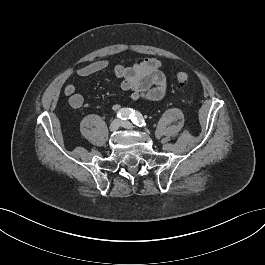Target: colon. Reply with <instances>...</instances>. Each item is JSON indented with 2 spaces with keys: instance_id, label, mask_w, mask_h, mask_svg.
<instances>
[{
  "instance_id": "5ec220e1",
  "label": "colon",
  "mask_w": 265,
  "mask_h": 265,
  "mask_svg": "<svg viewBox=\"0 0 265 265\" xmlns=\"http://www.w3.org/2000/svg\"><path fill=\"white\" fill-rule=\"evenodd\" d=\"M176 80L180 88L187 87L190 84V77L185 72L177 73Z\"/></svg>"
}]
</instances>
